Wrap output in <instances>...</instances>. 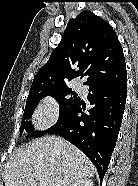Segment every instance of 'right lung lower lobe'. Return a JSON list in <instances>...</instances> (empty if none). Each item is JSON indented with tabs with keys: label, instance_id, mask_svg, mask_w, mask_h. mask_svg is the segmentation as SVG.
Listing matches in <instances>:
<instances>
[{
	"label": "right lung lower lobe",
	"instance_id": "1",
	"mask_svg": "<svg viewBox=\"0 0 138 186\" xmlns=\"http://www.w3.org/2000/svg\"><path fill=\"white\" fill-rule=\"evenodd\" d=\"M93 107L84 112L79 99L72 110L47 133L63 136L96 166L100 181L108 169L121 127L126 103L127 77L109 83L86 84Z\"/></svg>",
	"mask_w": 138,
	"mask_h": 186
}]
</instances>
